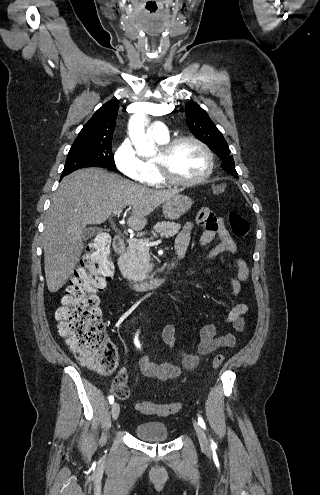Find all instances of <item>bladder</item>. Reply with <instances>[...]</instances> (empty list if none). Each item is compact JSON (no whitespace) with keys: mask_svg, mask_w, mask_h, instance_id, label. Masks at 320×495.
Here are the masks:
<instances>
[{"mask_svg":"<svg viewBox=\"0 0 320 495\" xmlns=\"http://www.w3.org/2000/svg\"><path fill=\"white\" fill-rule=\"evenodd\" d=\"M136 436L147 442H165L169 439V431L162 422H142L135 426Z\"/></svg>","mask_w":320,"mask_h":495,"instance_id":"bladder-1","label":"bladder"}]
</instances>
